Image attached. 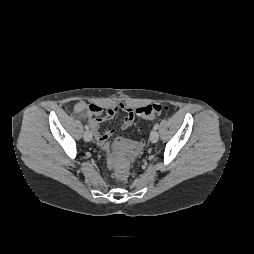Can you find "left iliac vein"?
I'll return each instance as SVG.
<instances>
[{
	"label": "left iliac vein",
	"mask_w": 254,
	"mask_h": 254,
	"mask_svg": "<svg viewBox=\"0 0 254 254\" xmlns=\"http://www.w3.org/2000/svg\"><path fill=\"white\" fill-rule=\"evenodd\" d=\"M158 139H159L158 132L155 129L152 130L151 133H150V141L152 143H156L158 141Z\"/></svg>",
	"instance_id": "left-iliac-vein-1"
}]
</instances>
